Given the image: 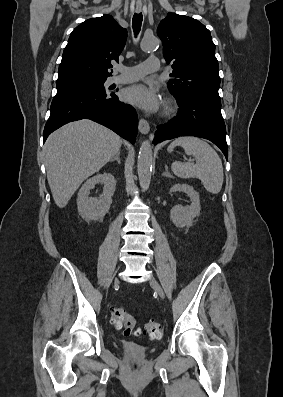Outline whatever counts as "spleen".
Masks as SVG:
<instances>
[{"label": "spleen", "mask_w": 283, "mask_h": 397, "mask_svg": "<svg viewBox=\"0 0 283 397\" xmlns=\"http://www.w3.org/2000/svg\"><path fill=\"white\" fill-rule=\"evenodd\" d=\"M175 146H181L187 155L196 159L192 162L182 163L175 161L171 165L173 173L179 178H198L205 189L212 194H218L223 184V166L217 152L205 141L197 137H180L169 146L171 152Z\"/></svg>", "instance_id": "3e777b00"}]
</instances>
